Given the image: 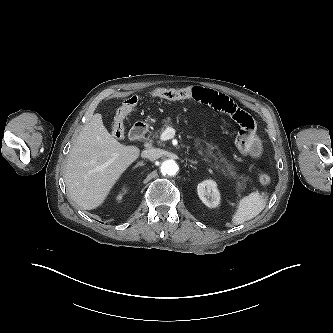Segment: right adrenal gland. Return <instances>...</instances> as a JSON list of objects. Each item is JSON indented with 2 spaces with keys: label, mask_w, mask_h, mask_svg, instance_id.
<instances>
[{
  "label": "right adrenal gland",
  "mask_w": 333,
  "mask_h": 333,
  "mask_svg": "<svg viewBox=\"0 0 333 333\" xmlns=\"http://www.w3.org/2000/svg\"><path fill=\"white\" fill-rule=\"evenodd\" d=\"M144 164L141 162V163H138V165L136 166V167H138V166H143Z\"/></svg>",
  "instance_id": "2a0ac1e0"
}]
</instances>
